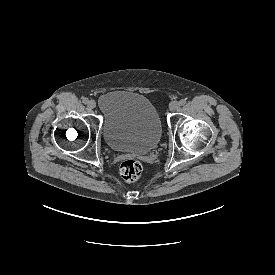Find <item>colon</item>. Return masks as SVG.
Listing matches in <instances>:
<instances>
[{
  "label": "colon",
  "instance_id": "colon-1",
  "mask_svg": "<svg viewBox=\"0 0 275 275\" xmlns=\"http://www.w3.org/2000/svg\"><path fill=\"white\" fill-rule=\"evenodd\" d=\"M142 169V164L138 160L128 159L121 163L119 173L126 182H133L139 178Z\"/></svg>",
  "mask_w": 275,
  "mask_h": 275
}]
</instances>
